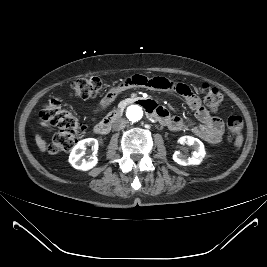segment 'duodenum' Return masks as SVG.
I'll list each match as a JSON object with an SVG mask.
<instances>
[{"mask_svg":"<svg viewBox=\"0 0 267 267\" xmlns=\"http://www.w3.org/2000/svg\"><path fill=\"white\" fill-rule=\"evenodd\" d=\"M128 103H139L143 105L148 111L151 113V115L155 118L159 119V113H158V107L155 106V104L150 100H138V99H130ZM122 114V108H117L114 110L110 115H108L105 119L98 122L95 127L94 131L97 134L105 135L107 134L112 127L113 122L120 117Z\"/></svg>","mask_w":267,"mask_h":267,"instance_id":"duodenum-1","label":"duodenum"}]
</instances>
